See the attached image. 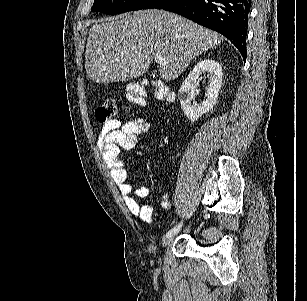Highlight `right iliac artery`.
Here are the masks:
<instances>
[{
  "mask_svg": "<svg viewBox=\"0 0 307 301\" xmlns=\"http://www.w3.org/2000/svg\"><path fill=\"white\" fill-rule=\"evenodd\" d=\"M181 227H182V222L179 223L178 225H176V226H175L174 228H172L171 230H169V231L167 232L166 235L176 234V233L180 230Z\"/></svg>",
  "mask_w": 307,
  "mask_h": 301,
  "instance_id": "82829eb1",
  "label": "right iliac artery"
}]
</instances>
